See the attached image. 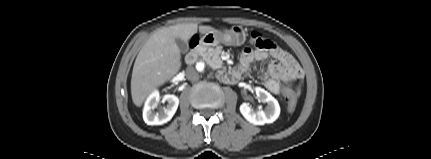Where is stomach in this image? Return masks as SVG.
I'll use <instances>...</instances> for the list:
<instances>
[{
  "label": "stomach",
  "mask_w": 431,
  "mask_h": 159,
  "mask_svg": "<svg viewBox=\"0 0 431 159\" xmlns=\"http://www.w3.org/2000/svg\"><path fill=\"white\" fill-rule=\"evenodd\" d=\"M245 40V31L239 25H235L231 29L209 32L202 37V42L207 46H215L220 43L227 46H240Z\"/></svg>",
  "instance_id": "0dacf381"
}]
</instances>
